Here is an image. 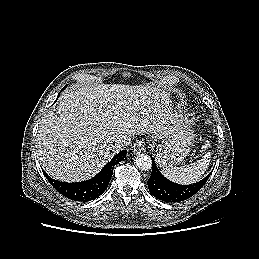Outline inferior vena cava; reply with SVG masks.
I'll use <instances>...</instances> for the list:
<instances>
[{
	"label": "inferior vena cava",
	"instance_id": "602c4592",
	"mask_svg": "<svg viewBox=\"0 0 259 259\" xmlns=\"http://www.w3.org/2000/svg\"><path fill=\"white\" fill-rule=\"evenodd\" d=\"M129 144H130V140L125 139V140H122V141H120V142L115 143L114 148H115L117 151H120V150H122L123 148H125L126 146H128Z\"/></svg>",
	"mask_w": 259,
	"mask_h": 259
}]
</instances>
